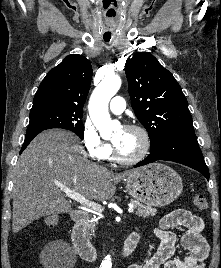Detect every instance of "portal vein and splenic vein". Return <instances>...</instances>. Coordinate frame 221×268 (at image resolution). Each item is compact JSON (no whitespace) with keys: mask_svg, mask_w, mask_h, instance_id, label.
I'll list each match as a JSON object with an SVG mask.
<instances>
[{"mask_svg":"<svg viewBox=\"0 0 221 268\" xmlns=\"http://www.w3.org/2000/svg\"><path fill=\"white\" fill-rule=\"evenodd\" d=\"M57 186L60 188V190H62L65 193V195L67 197L79 202L80 204L86 205L97 212H101L103 210V208L100 204L93 202V201H89L86 197H84L80 193H77V192H75V191H73V190H71V189H69L61 184H57ZM128 212L129 213L134 212L133 205H129Z\"/></svg>","mask_w":221,"mask_h":268,"instance_id":"obj_1","label":"portal vein and splenic vein"}]
</instances>
